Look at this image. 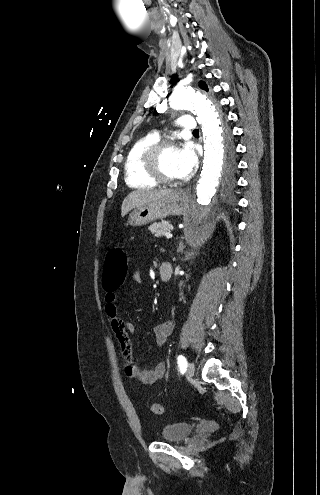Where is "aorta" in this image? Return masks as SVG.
<instances>
[{
  "label": "aorta",
  "instance_id": "762f6f07",
  "mask_svg": "<svg viewBox=\"0 0 320 495\" xmlns=\"http://www.w3.org/2000/svg\"><path fill=\"white\" fill-rule=\"evenodd\" d=\"M169 105L173 109L193 111L204 136L203 168L185 222V238L191 241L193 233L199 229L214 206L213 196L223 167V125L218 105L201 90L178 89L173 92Z\"/></svg>",
  "mask_w": 320,
  "mask_h": 495
}]
</instances>
